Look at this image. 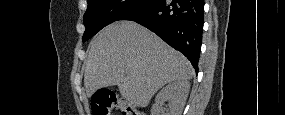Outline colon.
Segmentation results:
<instances>
[{
  "label": "colon",
  "mask_w": 285,
  "mask_h": 115,
  "mask_svg": "<svg viewBox=\"0 0 285 115\" xmlns=\"http://www.w3.org/2000/svg\"><path fill=\"white\" fill-rule=\"evenodd\" d=\"M91 107L95 115H110L112 111H119L123 115H143L128 101L107 89H100L93 95Z\"/></svg>",
  "instance_id": "obj_1"
}]
</instances>
